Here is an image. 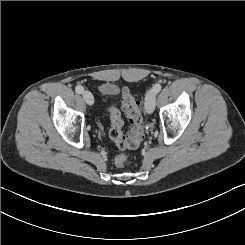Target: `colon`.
Returning a JSON list of instances; mask_svg holds the SVG:
<instances>
[{
	"instance_id": "1",
	"label": "colon",
	"mask_w": 245,
	"mask_h": 245,
	"mask_svg": "<svg viewBox=\"0 0 245 245\" xmlns=\"http://www.w3.org/2000/svg\"><path fill=\"white\" fill-rule=\"evenodd\" d=\"M121 103L122 109L130 123V131L128 136L123 135V121L120 113L117 109L110 108L111 128L109 135L121 150L135 149L143 138V118L140 104L127 88L122 90ZM115 164L120 168L125 167L128 164L127 156L125 154L117 155Z\"/></svg>"
}]
</instances>
